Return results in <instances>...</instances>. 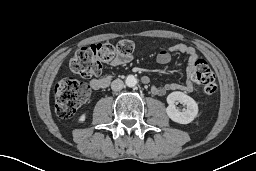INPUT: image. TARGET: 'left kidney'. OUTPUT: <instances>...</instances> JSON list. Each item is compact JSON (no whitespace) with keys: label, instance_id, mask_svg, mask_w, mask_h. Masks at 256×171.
I'll return each instance as SVG.
<instances>
[{"label":"left kidney","instance_id":"left-kidney-1","mask_svg":"<svg viewBox=\"0 0 256 171\" xmlns=\"http://www.w3.org/2000/svg\"><path fill=\"white\" fill-rule=\"evenodd\" d=\"M168 107L166 113L174 122L180 124H188L194 120L198 114V105L193 98L183 92H172L167 96ZM176 103L186 105V109L179 111L176 108Z\"/></svg>","mask_w":256,"mask_h":171}]
</instances>
